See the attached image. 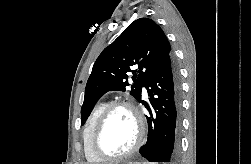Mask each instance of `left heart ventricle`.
Returning a JSON list of instances; mask_svg holds the SVG:
<instances>
[{"mask_svg":"<svg viewBox=\"0 0 251 164\" xmlns=\"http://www.w3.org/2000/svg\"><path fill=\"white\" fill-rule=\"evenodd\" d=\"M137 138V125L126 108L114 110L99 137V148L106 154L118 155L128 151Z\"/></svg>","mask_w":251,"mask_h":164,"instance_id":"b2bd125f","label":"left heart ventricle"}]
</instances>
